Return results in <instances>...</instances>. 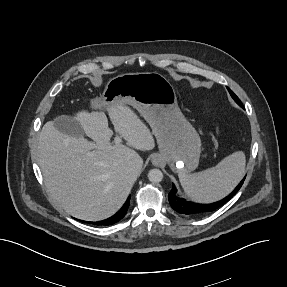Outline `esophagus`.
Returning a JSON list of instances; mask_svg holds the SVG:
<instances>
[{"label": "esophagus", "mask_w": 287, "mask_h": 287, "mask_svg": "<svg viewBox=\"0 0 287 287\" xmlns=\"http://www.w3.org/2000/svg\"><path fill=\"white\" fill-rule=\"evenodd\" d=\"M153 164H158L160 162L158 157L153 158L152 160Z\"/></svg>", "instance_id": "1"}]
</instances>
